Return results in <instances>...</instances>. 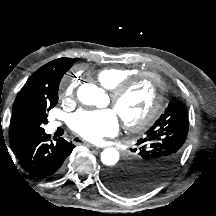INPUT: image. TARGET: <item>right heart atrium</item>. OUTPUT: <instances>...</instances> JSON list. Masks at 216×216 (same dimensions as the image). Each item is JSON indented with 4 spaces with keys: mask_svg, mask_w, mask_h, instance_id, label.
Masks as SVG:
<instances>
[{
    "mask_svg": "<svg viewBox=\"0 0 216 216\" xmlns=\"http://www.w3.org/2000/svg\"><path fill=\"white\" fill-rule=\"evenodd\" d=\"M77 82L72 77H66L61 84V93L62 97H72L76 89Z\"/></svg>",
    "mask_w": 216,
    "mask_h": 216,
    "instance_id": "right-heart-atrium-1",
    "label": "right heart atrium"
}]
</instances>
